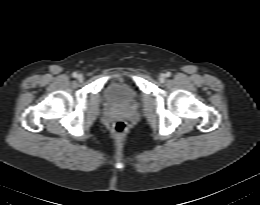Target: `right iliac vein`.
I'll return each instance as SVG.
<instances>
[{"label": "right iliac vein", "instance_id": "1", "mask_svg": "<svg viewBox=\"0 0 260 205\" xmlns=\"http://www.w3.org/2000/svg\"><path fill=\"white\" fill-rule=\"evenodd\" d=\"M77 79H78L79 81H82V80H83V75H82V74L77 75Z\"/></svg>", "mask_w": 260, "mask_h": 205}]
</instances>
